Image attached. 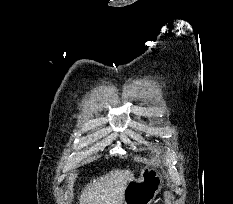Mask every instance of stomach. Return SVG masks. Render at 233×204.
Wrapping results in <instances>:
<instances>
[{
    "label": "stomach",
    "mask_w": 233,
    "mask_h": 204,
    "mask_svg": "<svg viewBox=\"0 0 233 204\" xmlns=\"http://www.w3.org/2000/svg\"><path fill=\"white\" fill-rule=\"evenodd\" d=\"M163 183L160 172L146 166L140 177L129 181L125 187L122 204H151Z\"/></svg>",
    "instance_id": "1"
}]
</instances>
